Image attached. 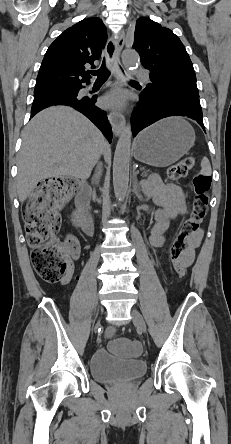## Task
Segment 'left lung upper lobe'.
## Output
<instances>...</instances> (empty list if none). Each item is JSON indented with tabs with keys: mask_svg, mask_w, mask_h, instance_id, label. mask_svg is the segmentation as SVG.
I'll use <instances>...</instances> for the list:
<instances>
[{
	"mask_svg": "<svg viewBox=\"0 0 231 444\" xmlns=\"http://www.w3.org/2000/svg\"><path fill=\"white\" fill-rule=\"evenodd\" d=\"M133 48L142 65L150 71L145 93L199 99L196 76L190 57L180 39L168 28L149 18L136 22Z\"/></svg>",
	"mask_w": 231,
	"mask_h": 444,
	"instance_id": "obj_1",
	"label": "left lung upper lobe"
}]
</instances>
